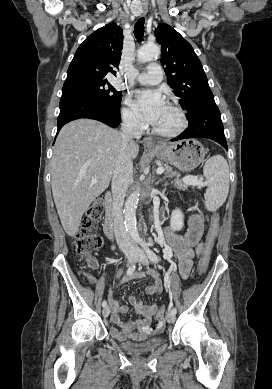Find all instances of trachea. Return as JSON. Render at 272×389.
<instances>
[{
    "instance_id": "obj_1",
    "label": "trachea",
    "mask_w": 272,
    "mask_h": 389,
    "mask_svg": "<svg viewBox=\"0 0 272 389\" xmlns=\"http://www.w3.org/2000/svg\"><path fill=\"white\" fill-rule=\"evenodd\" d=\"M144 23H145L144 18H140V19H138V21L136 22V24L134 26V35H135L137 41H139V42H141L143 40Z\"/></svg>"
}]
</instances>
